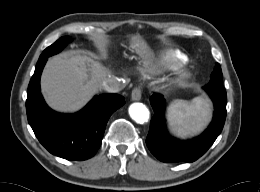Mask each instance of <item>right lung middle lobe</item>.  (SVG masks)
Here are the masks:
<instances>
[{
    "instance_id": "dd1d6c3e",
    "label": "right lung middle lobe",
    "mask_w": 260,
    "mask_h": 192,
    "mask_svg": "<svg viewBox=\"0 0 260 192\" xmlns=\"http://www.w3.org/2000/svg\"><path fill=\"white\" fill-rule=\"evenodd\" d=\"M72 39L68 36L61 37L54 44L47 47L41 54L39 60L47 59L48 57L59 53ZM38 60V61H39Z\"/></svg>"
}]
</instances>
